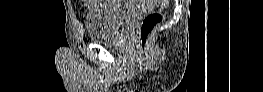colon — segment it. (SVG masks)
<instances>
[{
	"label": "colon",
	"mask_w": 263,
	"mask_h": 92,
	"mask_svg": "<svg viewBox=\"0 0 263 92\" xmlns=\"http://www.w3.org/2000/svg\"><path fill=\"white\" fill-rule=\"evenodd\" d=\"M157 2L160 3V7L153 11H150L144 17L139 29V41L142 49L145 47L154 28L162 21L163 10L168 4L167 0H160Z\"/></svg>",
	"instance_id": "obj_1"
}]
</instances>
